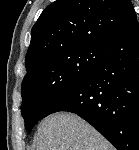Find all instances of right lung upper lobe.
Masks as SVG:
<instances>
[{"instance_id": "cb5924a9", "label": "right lung upper lobe", "mask_w": 139, "mask_h": 150, "mask_svg": "<svg viewBox=\"0 0 139 150\" xmlns=\"http://www.w3.org/2000/svg\"><path fill=\"white\" fill-rule=\"evenodd\" d=\"M135 18L130 0H56L32 28L27 74L54 55L107 46Z\"/></svg>"}]
</instances>
